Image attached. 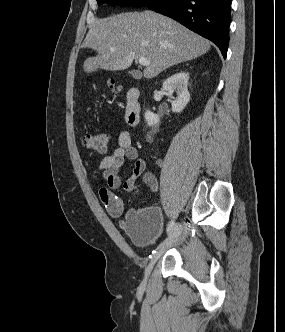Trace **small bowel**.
<instances>
[{
	"mask_svg": "<svg viewBox=\"0 0 285 332\" xmlns=\"http://www.w3.org/2000/svg\"><path fill=\"white\" fill-rule=\"evenodd\" d=\"M127 162H134V165L131 175L123 181L122 171ZM98 169L107 185L99 190V197L108 214L114 218L120 217L124 212L123 200L114 190L122 187L126 192H134L139 177L143 178L151 191L156 192L159 189L157 178L154 173L146 171V161L139 157L138 148L132 145L131 134L127 130L119 133L117 147L100 161ZM120 224L123 225L122 222Z\"/></svg>",
	"mask_w": 285,
	"mask_h": 332,
	"instance_id": "obj_1",
	"label": "small bowel"
}]
</instances>
